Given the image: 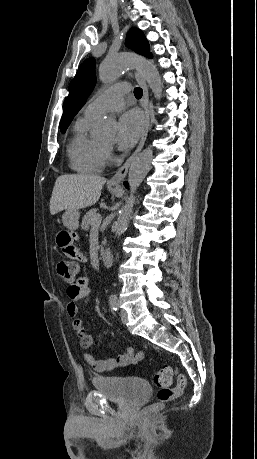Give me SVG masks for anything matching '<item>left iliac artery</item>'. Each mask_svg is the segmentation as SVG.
I'll list each match as a JSON object with an SVG mask.
<instances>
[{"instance_id":"obj_1","label":"left iliac artery","mask_w":257,"mask_h":459,"mask_svg":"<svg viewBox=\"0 0 257 459\" xmlns=\"http://www.w3.org/2000/svg\"><path fill=\"white\" fill-rule=\"evenodd\" d=\"M109 302L113 310L118 311L119 309V301L116 295H111L109 297Z\"/></svg>"}]
</instances>
